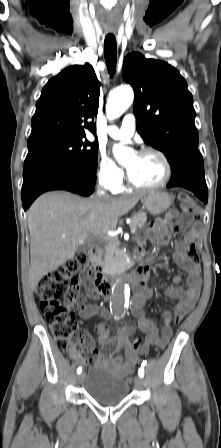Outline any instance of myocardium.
Segmentation results:
<instances>
[{
  "mask_svg": "<svg viewBox=\"0 0 221 448\" xmlns=\"http://www.w3.org/2000/svg\"><path fill=\"white\" fill-rule=\"evenodd\" d=\"M137 154L140 156L147 155V154H153V155L159 157L164 165L165 175H164L163 179L156 184L144 185V184H140V183L136 182L131 177L130 173L128 172L127 181L131 187L136 188V189H143V190L157 189V188L163 187L164 185H166L169 182V180L171 179L172 174H173V167H172V163H171L170 159L164 152H162L161 150H159L157 148L145 147V148H142L141 150H139Z\"/></svg>",
  "mask_w": 221,
  "mask_h": 448,
  "instance_id": "obj_1",
  "label": "myocardium"
}]
</instances>
